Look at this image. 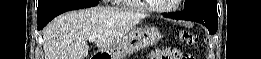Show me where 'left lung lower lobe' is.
Returning <instances> with one entry per match:
<instances>
[{"label":"left lung lower lobe","mask_w":261,"mask_h":59,"mask_svg":"<svg viewBox=\"0 0 261 59\" xmlns=\"http://www.w3.org/2000/svg\"><path fill=\"white\" fill-rule=\"evenodd\" d=\"M165 16L173 19L190 20L201 23L208 28L210 34L216 33L218 27V16L217 12L214 11L191 9L181 13L166 14Z\"/></svg>","instance_id":"obj_1"}]
</instances>
